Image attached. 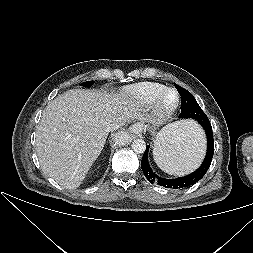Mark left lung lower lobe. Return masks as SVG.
Wrapping results in <instances>:
<instances>
[{
    "label": "left lung lower lobe",
    "mask_w": 253,
    "mask_h": 253,
    "mask_svg": "<svg viewBox=\"0 0 253 253\" xmlns=\"http://www.w3.org/2000/svg\"><path fill=\"white\" fill-rule=\"evenodd\" d=\"M195 120H197L201 124L207 136V153L202 165L195 172L184 177H180L177 179L161 178L152 171L149 165V162H148L149 146H147L141 160V168L146 178L151 184L157 183L167 188L180 189V188H185V187L195 184L200 179H202V177L206 174L208 168L210 167L213 154H214V139H213V134H212V127H211L208 117L206 116L204 112L197 114Z\"/></svg>",
    "instance_id": "left-lung-lower-lobe-1"
}]
</instances>
